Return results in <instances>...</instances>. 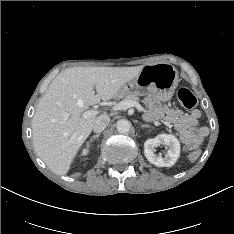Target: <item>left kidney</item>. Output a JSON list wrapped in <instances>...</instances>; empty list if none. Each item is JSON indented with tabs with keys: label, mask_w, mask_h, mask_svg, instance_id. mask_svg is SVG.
I'll return each mask as SVG.
<instances>
[{
	"label": "left kidney",
	"mask_w": 234,
	"mask_h": 234,
	"mask_svg": "<svg viewBox=\"0 0 234 234\" xmlns=\"http://www.w3.org/2000/svg\"><path fill=\"white\" fill-rule=\"evenodd\" d=\"M160 144L168 147L165 157L155 154V148ZM144 154L147 160L158 167H171L180 156V142L171 134H159L155 138L146 140Z\"/></svg>",
	"instance_id": "1"
}]
</instances>
